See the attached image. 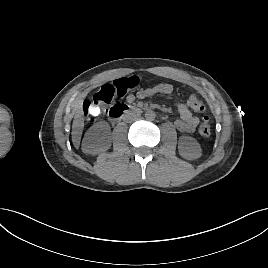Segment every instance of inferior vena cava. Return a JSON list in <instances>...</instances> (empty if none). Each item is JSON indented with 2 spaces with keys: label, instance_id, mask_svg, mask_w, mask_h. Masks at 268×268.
Instances as JSON below:
<instances>
[{
  "label": "inferior vena cava",
  "instance_id": "1",
  "mask_svg": "<svg viewBox=\"0 0 268 268\" xmlns=\"http://www.w3.org/2000/svg\"><path fill=\"white\" fill-rule=\"evenodd\" d=\"M139 118V115L137 113H134V112H128L126 115H125V120L126 121H135Z\"/></svg>",
  "mask_w": 268,
  "mask_h": 268
}]
</instances>
